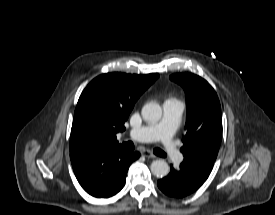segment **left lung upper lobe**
Returning <instances> with one entry per match:
<instances>
[{"instance_id": "obj_1", "label": "left lung upper lobe", "mask_w": 275, "mask_h": 215, "mask_svg": "<svg viewBox=\"0 0 275 215\" xmlns=\"http://www.w3.org/2000/svg\"><path fill=\"white\" fill-rule=\"evenodd\" d=\"M186 94V133L183 136V163L209 176L221 138V107L216 92L203 78L192 73L170 76Z\"/></svg>"}]
</instances>
